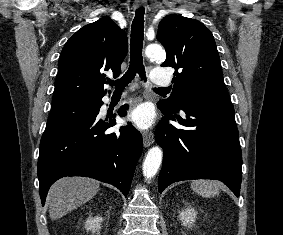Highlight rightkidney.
<instances>
[{"label":"right kidney","mask_w":283,"mask_h":235,"mask_svg":"<svg viewBox=\"0 0 283 235\" xmlns=\"http://www.w3.org/2000/svg\"><path fill=\"white\" fill-rule=\"evenodd\" d=\"M102 221L103 219L100 216L88 218L85 222V228L87 231H92L94 233L100 230Z\"/></svg>","instance_id":"1"}]
</instances>
